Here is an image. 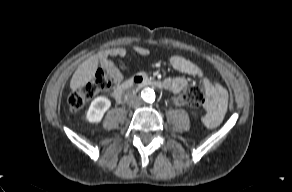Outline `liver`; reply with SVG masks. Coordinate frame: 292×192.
Masks as SVG:
<instances>
[{
  "label": "liver",
  "mask_w": 292,
  "mask_h": 192,
  "mask_svg": "<svg viewBox=\"0 0 292 192\" xmlns=\"http://www.w3.org/2000/svg\"><path fill=\"white\" fill-rule=\"evenodd\" d=\"M98 63V56L94 55L78 66L70 81V88L72 91L84 87L94 78Z\"/></svg>",
  "instance_id": "6515ba94"
}]
</instances>
